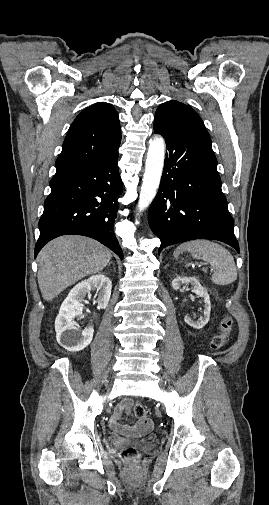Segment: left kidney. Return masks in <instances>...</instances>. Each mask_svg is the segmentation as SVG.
<instances>
[{
	"instance_id": "obj_1",
	"label": "left kidney",
	"mask_w": 269,
	"mask_h": 505,
	"mask_svg": "<svg viewBox=\"0 0 269 505\" xmlns=\"http://www.w3.org/2000/svg\"><path fill=\"white\" fill-rule=\"evenodd\" d=\"M191 285L192 291L199 297L204 299V311L203 316L199 318L198 321H194L188 315L185 316L184 321L191 327L195 329H202L209 321L210 311H211V302L210 296L207 290L200 284L199 280L195 277H186V276H177L172 280V288L174 290H178L181 285Z\"/></svg>"
}]
</instances>
